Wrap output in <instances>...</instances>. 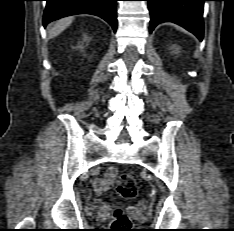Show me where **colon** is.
Returning a JSON list of instances; mask_svg holds the SVG:
<instances>
[{
    "instance_id": "1",
    "label": "colon",
    "mask_w": 234,
    "mask_h": 231,
    "mask_svg": "<svg viewBox=\"0 0 234 231\" xmlns=\"http://www.w3.org/2000/svg\"><path fill=\"white\" fill-rule=\"evenodd\" d=\"M136 195L137 182L135 177L130 173H122L117 179L113 198L115 200L133 199ZM112 225L115 231H129L131 228V221L122 209L117 208L113 212Z\"/></svg>"
}]
</instances>
